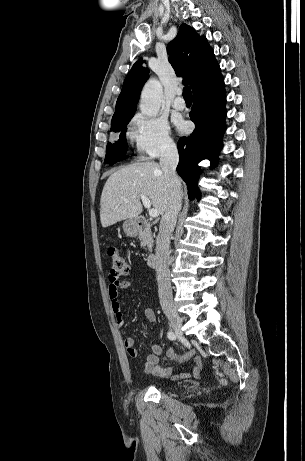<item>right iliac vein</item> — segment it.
I'll return each instance as SVG.
<instances>
[{"label":"right iliac vein","mask_w":305,"mask_h":461,"mask_svg":"<svg viewBox=\"0 0 305 461\" xmlns=\"http://www.w3.org/2000/svg\"><path fill=\"white\" fill-rule=\"evenodd\" d=\"M165 314L170 322L171 328L179 336H182V319L177 311L173 308H167L165 309Z\"/></svg>","instance_id":"obj_1"}]
</instances>
